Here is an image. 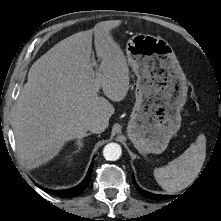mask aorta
Instances as JSON below:
<instances>
[{"mask_svg": "<svg viewBox=\"0 0 221 221\" xmlns=\"http://www.w3.org/2000/svg\"><path fill=\"white\" fill-rule=\"evenodd\" d=\"M122 153L121 147L117 143H109L103 149V156L106 160L116 161Z\"/></svg>", "mask_w": 221, "mask_h": 221, "instance_id": "aorta-1", "label": "aorta"}]
</instances>
